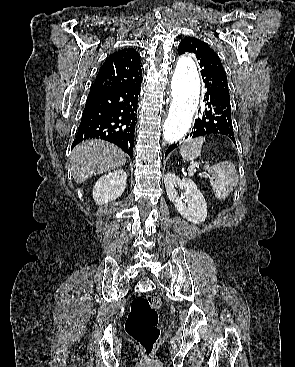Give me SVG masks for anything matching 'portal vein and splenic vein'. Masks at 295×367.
Masks as SVG:
<instances>
[{"instance_id": "obj_1", "label": "portal vein and splenic vein", "mask_w": 295, "mask_h": 367, "mask_svg": "<svg viewBox=\"0 0 295 367\" xmlns=\"http://www.w3.org/2000/svg\"><path fill=\"white\" fill-rule=\"evenodd\" d=\"M203 177L207 178L210 182H213V177L209 176L208 174H203Z\"/></svg>"}]
</instances>
